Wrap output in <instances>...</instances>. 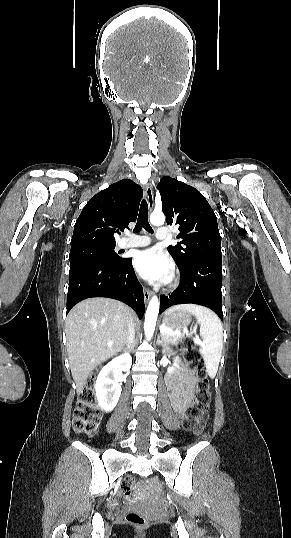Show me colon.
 Here are the masks:
<instances>
[{
	"label": "colon",
	"mask_w": 291,
	"mask_h": 538,
	"mask_svg": "<svg viewBox=\"0 0 291 538\" xmlns=\"http://www.w3.org/2000/svg\"><path fill=\"white\" fill-rule=\"evenodd\" d=\"M178 345L188 362L194 367L197 379L194 401L185 410L184 427L193 434L199 435L206 427L205 414L210 401V386L203 360L193 343L189 340H181ZM101 418L102 411L96 403L94 393V380L90 379L79 394L72 426L78 433L91 435L97 430ZM121 491L126 496L133 494L134 481L132 477L123 478ZM126 521L137 529H144L148 525L146 517L135 511L127 513Z\"/></svg>",
	"instance_id": "1"
}]
</instances>
